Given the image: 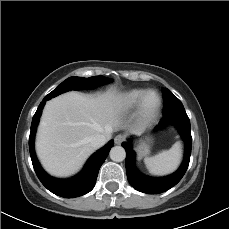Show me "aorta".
Returning <instances> with one entry per match:
<instances>
[{"label": "aorta", "mask_w": 229, "mask_h": 229, "mask_svg": "<svg viewBox=\"0 0 229 229\" xmlns=\"http://www.w3.org/2000/svg\"><path fill=\"white\" fill-rule=\"evenodd\" d=\"M126 153L125 149L121 146H114L110 150V158L115 162H121L125 159Z\"/></svg>", "instance_id": "obj_1"}]
</instances>
